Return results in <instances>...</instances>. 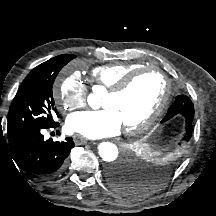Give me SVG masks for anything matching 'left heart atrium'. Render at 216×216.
Returning a JSON list of instances; mask_svg holds the SVG:
<instances>
[{"label": "left heart atrium", "mask_w": 216, "mask_h": 216, "mask_svg": "<svg viewBox=\"0 0 216 216\" xmlns=\"http://www.w3.org/2000/svg\"><path fill=\"white\" fill-rule=\"evenodd\" d=\"M66 130L90 139L114 136L122 127L118 114L111 108L97 111H81L70 114L66 120Z\"/></svg>", "instance_id": "39dd6f15"}]
</instances>
